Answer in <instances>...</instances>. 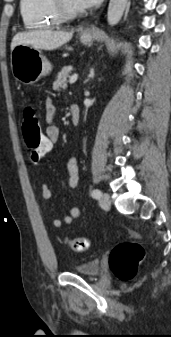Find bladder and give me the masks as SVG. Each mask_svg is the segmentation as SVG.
Here are the masks:
<instances>
[{
  "instance_id": "31cf9c89",
  "label": "bladder",
  "mask_w": 171,
  "mask_h": 337,
  "mask_svg": "<svg viewBox=\"0 0 171 337\" xmlns=\"http://www.w3.org/2000/svg\"><path fill=\"white\" fill-rule=\"evenodd\" d=\"M73 271L83 276L96 277L101 272V263L99 260H91L75 266Z\"/></svg>"
}]
</instances>
